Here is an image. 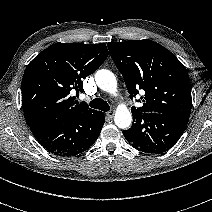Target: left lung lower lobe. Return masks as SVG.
Instances as JSON below:
<instances>
[{
  "label": "left lung lower lobe",
  "instance_id": "left-lung-lower-lobe-1",
  "mask_svg": "<svg viewBox=\"0 0 212 212\" xmlns=\"http://www.w3.org/2000/svg\"><path fill=\"white\" fill-rule=\"evenodd\" d=\"M188 120L181 115L144 112L133 115V125L123 135L135 149L160 154L176 144Z\"/></svg>",
  "mask_w": 212,
  "mask_h": 212
}]
</instances>
